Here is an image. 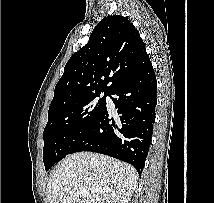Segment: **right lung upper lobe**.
<instances>
[{"mask_svg":"<svg viewBox=\"0 0 214 203\" xmlns=\"http://www.w3.org/2000/svg\"><path fill=\"white\" fill-rule=\"evenodd\" d=\"M150 65L139 31L128 18L107 16L66 63L49 111L94 93H108Z\"/></svg>","mask_w":214,"mask_h":203,"instance_id":"1","label":"right lung upper lobe"}]
</instances>
